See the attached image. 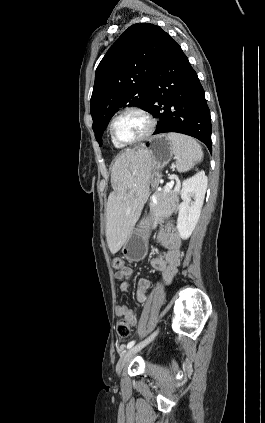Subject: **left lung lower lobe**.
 <instances>
[{"instance_id":"0a47b994","label":"left lung lower lobe","mask_w":265,"mask_h":423,"mask_svg":"<svg viewBox=\"0 0 265 423\" xmlns=\"http://www.w3.org/2000/svg\"><path fill=\"white\" fill-rule=\"evenodd\" d=\"M147 112L160 121L154 134L177 132L211 148L210 111L203 87L179 44L167 34L149 89Z\"/></svg>"}]
</instances>
